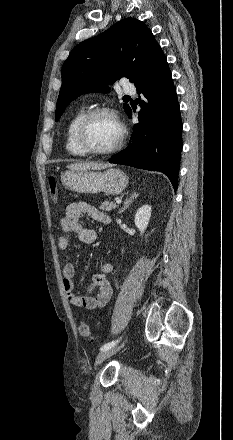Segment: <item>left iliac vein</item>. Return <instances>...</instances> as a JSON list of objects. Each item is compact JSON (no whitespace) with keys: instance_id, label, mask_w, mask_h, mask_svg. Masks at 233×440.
<instances>
[{"instance_id":"4c4485c4","label":"left iliac vein","mask_w":233,"mask_h":440,"mask_svg":"<svg viewBox=\"0 0 233 440\" xmlns=\"http://www.w3.org/2000/svg\"><path fill=\"white\" fill-rule=\"evenodd\" d=\"M123 346H124V343L121 344L120 346H116L114 348H110V349H107V350L100 352L98 354V356L96 357L95 365L102 363L103 361H105L106 359H108L109 357H111L112 355L117 353Z\"/></svg>"}]
</instances>
